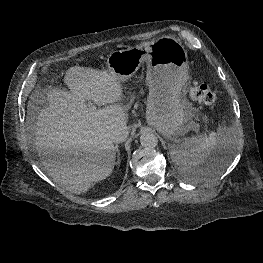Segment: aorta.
<instances>
[{
  "label": "aorta",
  "instance_id": "762f6f07",
  "mask_svg": "<svg viewBox=\"0 0 263 263\" xmlns=\"http://www.w3.org/2000/svg\"><path fill=\"white\" fill-rule=\"evenodd\" d=\"M140 143L143 147L152 149L157 146L158 139L154 133L146 131L140 136Z\"/></svg>",
  "mask_w": 263,
  "mask_h": 263
}]
</instances>
